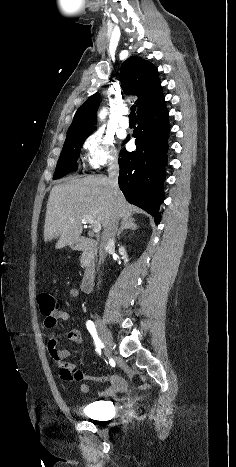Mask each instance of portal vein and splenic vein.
I'll return each instance as SVG.
<instances>
[{
    "label": "portal vein and splenic vein",
    "mask_w": 236,
    "mask_h": 467,
    "mask_svg": "<svg viewBox=\"0 0 236 467\" xmlns=\"http://www.w3.org/2000/svg\"><path fill=\"white\" fill-rule=\"evenodd\" d=\"M83 221L92 224V226H93V229H92V230H93L94 233L100 232V230H101V224L95 222V221L93 220L92 217H90V216L85 217V218L83 219Z\"/></svg>",
    "instance_id": "1"
}]
</instances>
